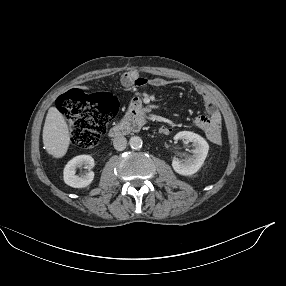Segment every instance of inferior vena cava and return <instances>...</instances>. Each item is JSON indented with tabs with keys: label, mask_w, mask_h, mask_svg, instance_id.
<instances>
[{
	"label": "inferior vena cava",
	"mask_w": 286,
	"mask_h": 286,
	"mask_svg": "<svg viewBox=\"0 0 286 286\" xmlns=\"http://www.w3.org/2000/svg\"><path fill=\"white\" fill-rule=\"evenodd\" d=\"M127 140L124 136H117L113 139V146L116 150L122 151L126 148Z\"/></svg>",
	"instance_id": "602c4592"
}]
</instances>
